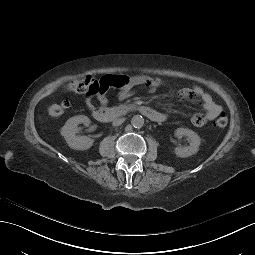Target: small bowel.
Instances as JSON below:
<instances>
[{
    "label": "small bowel",
    "instance_id": "obj_1",
    "mask_svg": "<svg viewBox=\"0 0 255 255\" xmlns=\"http://www.w3.org/2000/svg\"><path fill=\"white\" fill-rule=\"evenodd\" d=\"M165 85V81L160 78H153L145 75L134 76L130 79L129 84L126 87L121 88L118 99L125 100L129 98L138 89L144 88L149 92H154L158 87ZM92 95H96L100 103L106 104L107 98L105 91H99L93 94H86L85 103L89 108L93 107ZM178 98L187 99L191 101H198L201 103L204 113H196L191 117V122L197 127L204 126L208 122L215 119L222 108L218 105L211 95L204 91L200 86H193L192 88H184L178 91Z\"/></svg>",
    "mask_w": 255,
    "mask_h": 255
}]
</instances>
